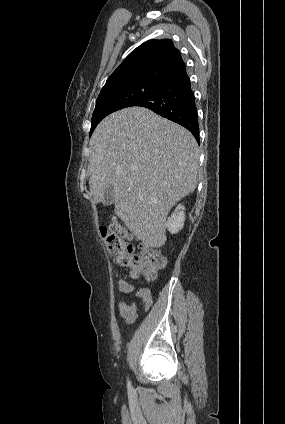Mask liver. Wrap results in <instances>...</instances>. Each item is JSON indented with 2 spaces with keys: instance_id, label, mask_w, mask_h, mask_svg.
Returning a JSON list of instances; mask_svg holds the SVG:
<instances>
[{
  "instance_id": "liver-1",
  "label": "liver",
  "mask_w": 285,
  "mask_h": 424,
  "mask_svg": "<svg viewBox=\"0 0 285 424\" xmlns=\"http://www.w3.org/2000/svg\"><path fill=\"white\" fill-rule=\"evenodd\" d=\"M89 146L94 201L102 202L105 188L113 186L115 214L144 244L162 247L170 209L198 183L193 135L147 108L129 107L104 118Z\"/></svg>"
}]
</instances>
